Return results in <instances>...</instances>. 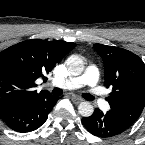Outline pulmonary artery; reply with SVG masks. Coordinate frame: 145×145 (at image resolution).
<instances>
[{
  "mask_svg": "<svg viewBox=\"0 0 145 145\" xmlns=\"http://www.w3.org/2000/svg\"><path fill=\"white\" fill-rule=\"evenodd\" d=\"M99 70L95 65H89L85 73L79 77H70L61 80H54L53 84L64 89H77L84 85L89 86L90 92L95 101L103 108H108V103L101 97L98 89Z\"/></svg>",
  "mask_w": 145,
  "mask_h": 145,
  "instance_id": "obj_1",
  "label": "pulmonary artery"
}]
</instances>
